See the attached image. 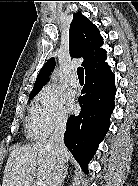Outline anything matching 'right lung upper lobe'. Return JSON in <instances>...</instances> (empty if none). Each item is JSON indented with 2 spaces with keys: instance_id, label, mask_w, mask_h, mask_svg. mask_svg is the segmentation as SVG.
<instances>
[{
  "instance_id": "right-lung-upper-lobe-1",
  "label": "right lung upper lobe",
  "mask_w": 138,
  "mask_h": 186,
  "mask_svg": "<svg viewBox=\"0 0 138 186\" xmlns=\"http://www.w3.org/2000/svg\"><path fill=\"white\" fill-rule=\"evenodd\" d=\"M102 45L103 38L97 27L81 13H74L69 30V47L73 57H83L85 78L101 77L112 73L105 62L106 51L100 48ZM54 66V58L46 62L37 76L30 95H36L42 89Z\"/></svg>"
}]
</instances>
